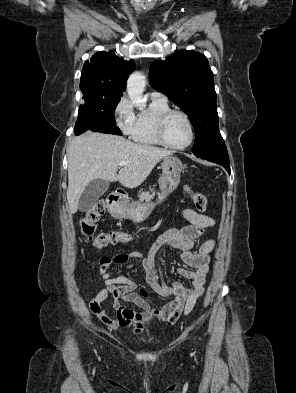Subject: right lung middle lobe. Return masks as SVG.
<instances>
[{
  "label": "right lung middle lobe",
  "instance_id": "dd1d6c3e",
  "mask_svg": "<svg viewBox=\"0 0 296 393\" xmlns=\"http://www.w3.org/2000/svg\"><path fill=\"white\" fill-rule=\"evenodd\" d=\"M78 111V121L94 120L115 126V109L120 97L86 99Z\"/></svg>",
  "mask_w": 296,
  "mask_h": 393
}]
</instances>
